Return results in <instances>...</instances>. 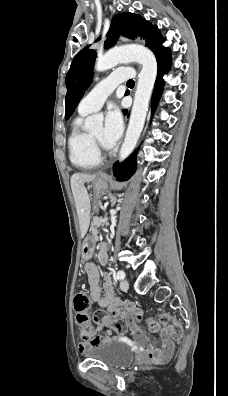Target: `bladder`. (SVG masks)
<instances>
[{
    "label": "bladder",
    "mask_w": 228,
    "mask_h": 396,
    "mask_svg": "<svg viewBox=\"0 0 228 396\" xmlns=\"http://www.w3.org/2000/svg\"><path fill=\"white\" fill-rule=\"evenodd\" d=\"M82 354L86 358L99 360L114 368L125 367L134 359V353L131 348L127 344L116 340L89 346Z\"/></svg>",
    "instance_id": "1"
}]
</instances>
